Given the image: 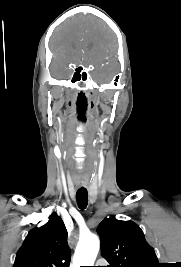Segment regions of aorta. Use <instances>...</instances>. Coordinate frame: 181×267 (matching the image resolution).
Wrapping results in <instances>:
<instances>
[{
	"label": "aorta",
	"mask_w": 181,
	"mask_h": 267,
	"mask_svg": "<svg viewBox=\"0 0 181 267\" xmlns=\"http://www.w3.org/2000/svg\"><path fill=\"white\" fill-rule=\"evenodd\" d=\"M99 249L100 240L97 235L81 236L73 257V266H93Z\"/></svg>",
	"instance_id": "762f6f07"
}]
</instances>
